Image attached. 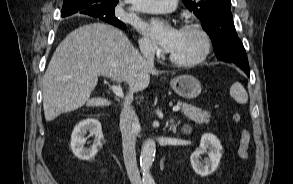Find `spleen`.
<instances>
[{
	"mask_svg": "<svg viewBox=\"0 0 293 184\" xmlns=\"http://www.w3.org/2000/svg\"><path fill=\"white\" fill-rule=\"evenodd\" d=\"M230 95L239 104H245L248 101V94L241 83L236 82L231 86Z\"/></svg>",
	"mask_w": 293,
	"mask_h": 184,
	"instance_id": "1",
	"label": "spleen"
}]
</instances>
